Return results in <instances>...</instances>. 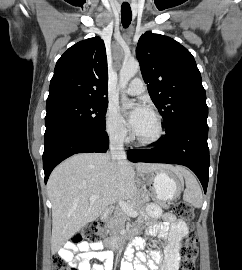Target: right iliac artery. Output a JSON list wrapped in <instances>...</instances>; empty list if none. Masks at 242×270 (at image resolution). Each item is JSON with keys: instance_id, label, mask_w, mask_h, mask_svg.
<instances>
[{"instance_id": "obj_1", "label": "right iliac artery", "mask_w": 242, "mask_h": 270, "mask_svg": "<svg viewBox=\"0 0 242 270\" xmlns=\"http://www.w3.org/2000/svg\"><path fill=\"white\" fill-rule=\"evenodd\" d=\"M124 268H125V266L121 267V270H125Z\"/></svg>"}]
</instances>
